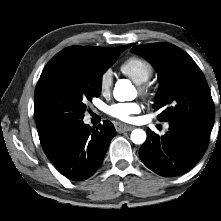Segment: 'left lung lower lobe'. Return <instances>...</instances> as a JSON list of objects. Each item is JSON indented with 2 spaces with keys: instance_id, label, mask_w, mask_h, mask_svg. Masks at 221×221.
<instances>
[{
  "instance_id": "0a47b994",
  "label": "left lung lower lobe",
  "mask_w": 221,
  "mask_h": 221,
  "mask_svg": "<svg viewBox=\"0 0 221 221\" xmlns=\"http://www.w3.org/2000/svg\"><path fill=\"white\" fill-rule=\"evenodd\" d=\"M209 133L187 122L169 123L162 137L147 130V140L139 150L146 167L161 176L188 172L204 155Z\"/></svg>"
}]
</instances>
